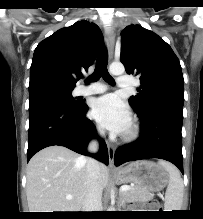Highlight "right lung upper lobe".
<instances>
[{
	"mask_svg": "<svg viewBox=\"0 0 203 219\" xmlns=\"http://www.w3.org/2000/svg\"><path fill=\"white\" fill-rule=\"evenodd\" d=\"M95 23L78 21L41 41L30 67V82L53 80L75 87L81 70H88L102 44Z\"/></svg>",
	"mask_w": 203,
	"mask_h": 219,
	"instance_id": "obj_1",
	"label": "right lung upper lobe"
}]
</instances>
